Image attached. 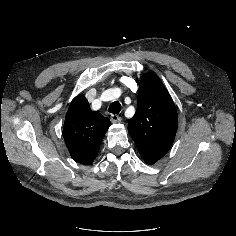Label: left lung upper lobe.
I'll return each instance as SVG.
<instances>
[{
  "label": "left lung upper lobe",
  "instance_id": "obj_1",
  "mask_svg": "<svg viewBox=\"0 0 236 236\" xmlns=\"http://www.w3.org/2000/svg\"><path fill=\"white\" fill-rule=\"evenodd\" d=\"M178 127L177 110L167 89L154 74L139 84L138 106L128 132L144 160L157 162L173 144Z\"/></svg>",
  "mask_w": 236,
  "mask_h": 236
}]
</instances>
